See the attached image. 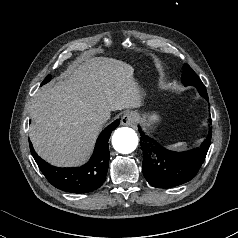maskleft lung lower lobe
<instances>
[{"instance_id": "left-lung-lower-lobe-1", "label": "left lung lower lobe", "mask_w": 238, "mask_h": 238, "mask_svg": "<svg viewBox=\"0 0 238 238\" xmlns=\"http://www.w3.org/2000/svg\"><path fill=\"white\" fill-rule=\"evenodd\" d=\"M139 130L144 154L143 174L149 184L157 188H171L190 181L203 164L211 143L209 135L200 147L175 152L147 136L140 127Z\"/></svg>"}]
</instances>
